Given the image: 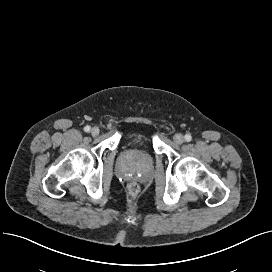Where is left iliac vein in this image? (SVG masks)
<instances>
[{"label": "left iliac vein", "instance_id": "1", "mask_svg": "<svg viewBox=\"0 0 272 272\" xmlns=\"http://www.w3.org/2000/svg\"><path fill=\"white\" fill-rule=\"evenodd\" d=\"M173 140L176 144H182L184 142V136L178 133L174 135Z\"/></svg>", "mask_w": 272, "mask_h": 272}]
</instances>
